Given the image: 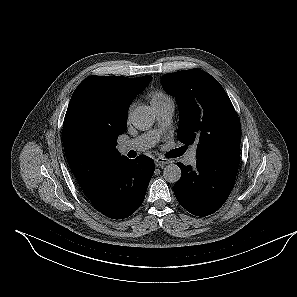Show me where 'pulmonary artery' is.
<instances>
[{"mask_svg": "<svg viewBox=\"0 0 297 297\" xmlns=\"http://www.w3.org/2000/svg\"><path fill=\"white\" fill-rule=\"evenodd\" d=\"M152 107L156 114L158 128L121 143L119 150L122 153H126L131 150L144 151L153 147L159 140L161 133L170 125L175 110V104L172 98L167 97L160 102L153 103ZM195 162L196 148L192 147L186 157V163L194 164Z\"/></svg>", "mask_w": 297, "mask_h": 297, "instance_id": "e3ab8cb5", "label": "pulmonary artery"}]
</instances>
